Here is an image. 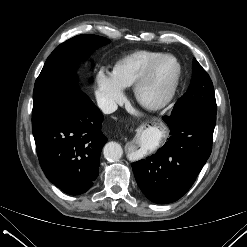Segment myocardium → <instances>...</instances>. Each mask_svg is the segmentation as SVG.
<instances>
[{
  "label": "myocardium",
  "mask_w": 247,
  "mask_h": 247,
  "mask_svg": "<svg viewBox=\"0 0 247 247\" xmlns=\"http://www.w3.org/2000/svg\"><path fill=\"white\" fill-rule=\"evenodd\" d=\"M166 59H171L175 63L176 70L173 79L169 87L162 96L156 99H149L144 94L145 88L149 83L156 67ZM180 77H181V65L178 59L172 54H162L148 65V67L145 69L142 75L135 82L133 89L134 96L137 102L145 109L153 110V111L163 109L166 106H168L173 100L176 91L178 89Z\"/></svg>",
  "instance_id": "myocardium-1"
}]
</instances>
